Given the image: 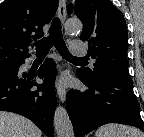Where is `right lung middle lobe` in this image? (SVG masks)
Returning <instances> with one entry per match:
<instances>
[{"label": "right lung middle lobe", "instance_id": "right-lung-middle-lobe-1", "mask_svg": "<svg viewBox=\"0 0 144 137\" xmlns=\"http://www.w3.org/2000/svg\"><path fill=\"white\" fill-rule=\"evenodd\" d=\"M18 66V65H17ZM17 66L15 67H12V68H9L7 70H4V71H0V76L1 75H10V74H14L16 69H17Z\"/></svg>", "mask_w": 144, "mask_h": 137}]
</instances>
